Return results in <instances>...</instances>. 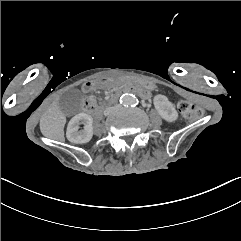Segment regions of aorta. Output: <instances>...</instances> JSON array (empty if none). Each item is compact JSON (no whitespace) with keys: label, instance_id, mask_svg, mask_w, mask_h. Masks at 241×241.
I'll list each match as a JSON object with an SVG mask.
<instances>
[{"label":"aorta","instance_id":"762f6f07","mask_svg":"<svg viewBox=\"0 0 241 241\" xmlns=\"http://www.w3.org/2000/svg\"><path fill=\"white\" fill-rule=\"evenodd\" d=\"M121 99H122L123 104H125V105H132L135 103V98L128 94L124 95Z\"/></svg>","mask_w":241,"mask_h":241}]
</instances>
